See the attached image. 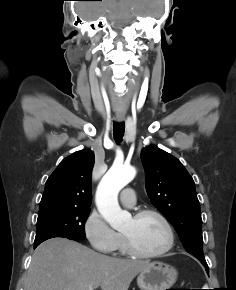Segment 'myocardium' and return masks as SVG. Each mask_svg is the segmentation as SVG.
Masks as SVG:
<instances>
[{"label":"myocardium","instance_id":"myocardium-1","mask_svg":"<svg viewBox=\"0 0 236 290\" xmlns=\"http://www.w3.org/2000/svg\"><path fill=\"white\" fill-rule=\"evenodd\" d=\"M148 215L155 216L161 221V223L164 225L166 229L168 239H167L166 245L161 250L153 252V253H145L138 250L133 245V243L131 242L128 236H126L125 234H122V239L124 242L126 252L130 254L131 256L140 258V259H155V258L162 257L173 248L174 243H175V233H174L173 227L170 221L162 212L153 208H145V209H141L135 212L133 215V218L140 219Z\"/></svg>","mask_w":236,"mask_h":290}]
</instances>
